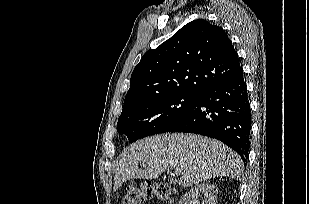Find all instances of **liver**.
<instances>
[{
    "label": "liver",
    "mask_w": 309,
    "mask_h": 204,
    "mask_svg": "<svg viewBox=\"0 0 309 204\" xmlns=\"http://www.w3.org/2000/svg\"><path fill=\"white\" fill-rule=\"evenodd\" d=\"M139 165L145 169H139ZM166 169L180 176L179 185L190 187L214 177L240 179L241 157L222 142L194 134L147 137L124 151L114 178V191L130 179H156Z\"/></svg>",
    "instance_id": "6515ba94"
}]
</instances>
